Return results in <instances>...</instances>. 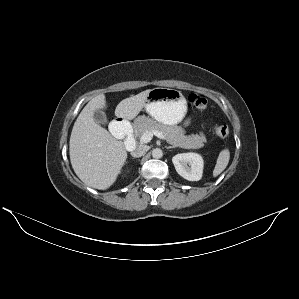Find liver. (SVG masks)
Returning <instances> with one entry per match:
<instances>
[{"mask_svg":"<svg viewBox=\"0 0 299 299\" xmlns=\"http://www.w3.org/2000/svg\"><path fill=\"white\" fill-rule=\"evenodd\" d=\"M150 90L123 99L115 115L126 120L134 119L145 106ZM106 107L104 94L91 99L74 123L70 142V161L74 172L86 185L108 189L117 179L127 159L122 141L114 138L94 120V112Z\"/></svg>","mask_w":299,"mask_h":299,"instance_id":"6515ba94","label":"liver"}]
</instances>
